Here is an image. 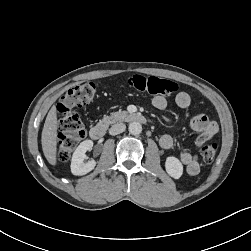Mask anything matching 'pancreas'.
<instances>
[{"mask_svg":"<svg viewBox=\"0 0 251 251\" xmlns=\"http://www.w3.org/2000/svg\"><path fill=\"white\" fill-rule=\"evenodd\" d=\"M127 115L128 112L126 111L113 112L109 116H104L103 119L100 120L99 124L108 127L110 124L123 121Z\"/></svg>","mask_w":251,"mask_h":251,"instance_id":"obj_1","label":"pancreas"}]
</instances>
